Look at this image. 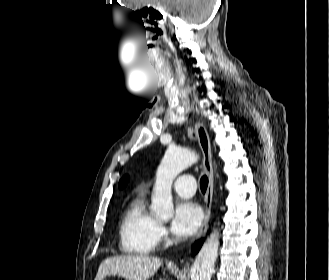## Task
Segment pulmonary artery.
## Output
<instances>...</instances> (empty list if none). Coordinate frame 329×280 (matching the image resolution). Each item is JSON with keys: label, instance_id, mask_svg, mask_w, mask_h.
Instances as JSON below:
<instances>
[{"label": "pulmonary artery", "instance_id": "e3ab8cb5", "mask_svg": "<svg viewBox=\"0 0 329 280\" xmlns=\"http://www.w3.org/2000/svg\"><path fill=\"white\" fill-rule=\"evenodd\" d=\"M173 189L176 194L183 198H190L194 195L196 189L195 179L192 175L184 174L179 176L174 184Z\"/></svg>", "mask_w": 329, "mask_h": 280}]
</instances>
